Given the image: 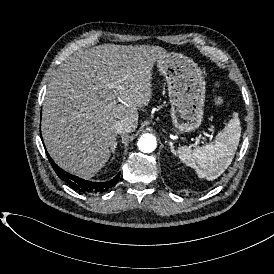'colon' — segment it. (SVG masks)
Here are the masks:
<instances>
[{
  "label": "colon",
  "mask_w": 274,
  "mask_h": 274,
  "mask_svg": "<svg viewBox=\"0 0 274 274\" xmlns=\"http://www.w3.org/2000/svg\"><path fill=\"white\" fill-rule=\"evenodd\" d=\"M221 103H222V99H219V100L217 101V105L220 106Z\"/></svg>",
  "instance_id": "colon-1"
}]
</instances>
